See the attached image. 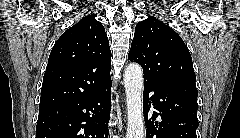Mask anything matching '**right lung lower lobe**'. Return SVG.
<instances>
[{
  "label": "right lung lower lobe",
  "instance_id": "right-lung-lower-lobe-1",
  "mask_svg": "<svg viewBox=\"0 0 240 138\" xmlns=\"http://www.w3.org/2000/svg\"><path fill=\"white\" fill-rule=\"evenodd\" d=\"M111 79L93 92L39 110L36 138H108Z\"/></svg>",
  "mask_w": 240,
  "mask_h": 138
}]
</instances>
